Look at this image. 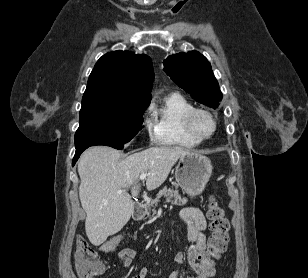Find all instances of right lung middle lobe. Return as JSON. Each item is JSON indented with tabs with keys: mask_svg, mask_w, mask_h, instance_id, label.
Wrapping results in <instances>:
<instances>
[{
	"mask_svg": "<svg viewBox=\"0 0 308 278\" xmlns=\"http://www.w3.org/2000/svg\"><path fill=\"white\" fill-rule=\"evenodd\" d=\"M147 107L80 116L75 148L107 145L122 149L141 130Z\"/></svg>",
	"mask_w": 308,
	"mask_h": 278,
	"instance_id": "right-lung-middle-lobe-1",
	"label": "right lung middle lobe"
}]
</instances>
